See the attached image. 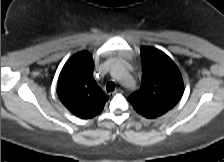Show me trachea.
I'll list each match as a JSON object with an SVG mask.
<instances>
[{
    "instance_id": "trachea-1",
    "label": "trachea",
    "mask_w": 224,
    "mask_h": 162,
    "mask_svg": "<svg viewBox=\"0 0 224 162\" xmlns=\"http://www.w3.org/2000/svg\"><path fill=\"white\" fill-rule=\"evenodd\" d=\"M107 92H111L115 90V83L114 82H108L106 85Z\"/></svg>"
}]
</instances>
